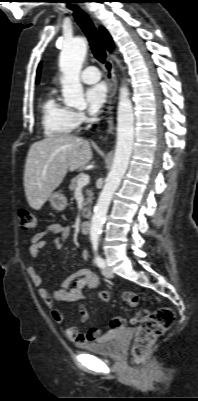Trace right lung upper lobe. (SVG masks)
Listing matches in <instances>:
<instances>
[{"instance_id": "right-lung-upper-lobe-1", "label": "right lung upper lobe", "mask_w": 198, "mask_h": 401, "mask_svg": "<svg viewBox=\"0 0 198 401\" xmlns=\"http://www.w3.org/2000/svg\"><path fill=\"white\" fill-rule=\"evenodd\" d=\"M100 33L102 35L105 47L107 48V50L111 51L114 47L111 36L107 32V30L104 29L103 27L100 28ZM39 74H40V67L38 68L37 82L39 81Z\"/></svg>"}]
</instances>
